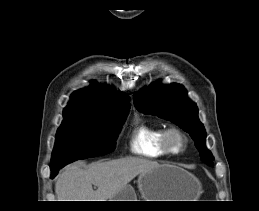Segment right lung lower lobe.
<instances>
[{"instance_id": "obj_1", "label": "right lung lower lobe", "mask_w": 259, "mask_h": 211, "mask_svg": "<svg viewBox=\"0 0 259 211\" xmlns=\"http://www.w3.org/2000/svg\"><path fill=\"white\" fill-rule=\"evenodd\" d=\"M59 169L57 170H52L51 178H54L56 174L58 173Z\"/></svg>"}]
</instances>
